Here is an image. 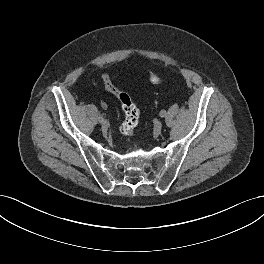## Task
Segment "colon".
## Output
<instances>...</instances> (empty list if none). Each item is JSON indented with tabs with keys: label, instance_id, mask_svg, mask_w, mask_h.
<instances>
[{
	"label": "colon",
	"instance_id": "obj_1",
	"mask_svg": "<svg viewBox=\"0 0 264 264\" xmlns=\"http://www.w3.org/2000/svg\"><path fill=\"white\" fill-rule=\"evenodd\" d=\"M148 78L153 84H163L165 82L153 72L149 73ZM102 82L105 88L119 100L123 109L124 120L120 126L122 133L127 136H131L135 132L139 121V110L137 106L133 103L130 96L126 92L120 90L113 83L111 77L108 74L102 75Z\"/></svg>",
	"mask_w": 264,
	"mask_h": 264
}]
</instances>
